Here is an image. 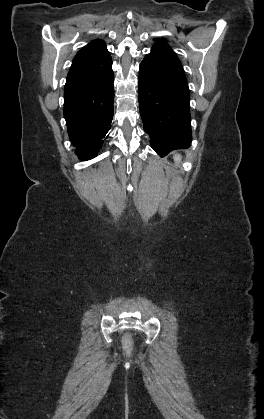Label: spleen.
Instances as JSON below:
<instances>
[{
  "instance_id": "obj_1",
  "label": "spleen",
  "mask_w": 264,
  "mask_h": 419,
  "mask_svg": "<svg viewBox=\"0 0 264 419\" xmlns=\"http://www.w3.org/2000/svg\"><path fill=\"white\" fill-rule=\"evenodd\" d=\"M180 159H181V156H180V155H176V156L174 157V160H176V161H180Z\"/></svg>"
}]
</instances>
